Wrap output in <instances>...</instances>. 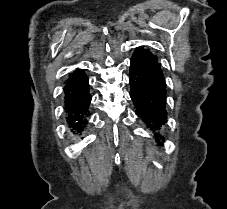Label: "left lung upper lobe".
<instances>
[{
  "label": "left lung upper lobe",
  "mask_w": 227,
  "mask_h": 209,
  "mask_svg": "<svg viewBox=\"0 0 227 209\" xmlns=\"http://www.w3.org/2000/svg\"><path fill=\"white\" fill-rule=\"evenodd\" d=\"M140 48H142V47H140ZM144 49V48H143ZM144 50H146V49H144ZM147 52H149L148 50H146ZM150 53V52H149ZM154 58H156L157 59V57H156V55H153L152 53H150Z\"/></svg>",
  "instance_id": "left-lung-upper-lobe-1"
}]
</instances>
